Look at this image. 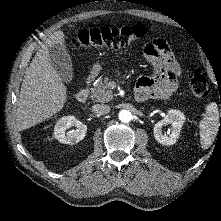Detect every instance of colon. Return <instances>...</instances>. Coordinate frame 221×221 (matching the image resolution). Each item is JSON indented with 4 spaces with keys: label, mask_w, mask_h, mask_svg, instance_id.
Instances as JSON below:
<instances>
[{
    "label": "colon",
    "mask_w": 221,
    "mask_h": 221,
    "mask_svg": "<svg viewBox=\"0 0 221 221\" xmlns=\"http://www.w3.org/2000/svg\"><path fill=\"white\" fill-rule=\"evenodd\" d=\"M146 33L147 29L143 25L82 29L73 38L72 45L75 48L120 49L144 37ZM190 89L192 94L198 98H205L208 95L207 79L200 70L193 74Z\"/></svg>",
    "instance_id": "1"
}]
</instances>
